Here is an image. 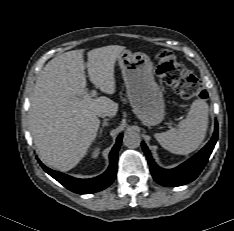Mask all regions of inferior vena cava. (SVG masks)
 I'll return each instance as SVG.
<instances>
[{
  "label": "inferior vena cava",
  "instance_id": "602c4592",
  "mask_svg": "<svg viewBox=\"0 0 234 231\" xmlns=\"http://www.w3.org/2000/svg\"><path fill=\"white\" fill-rule=\"evenodd\" d=\"M98 116L102 117V118H104L106 116L112 117V114L107 112V111H101V112L98 113Z\"/></svg>",
  "mask_w": 234,
  "mask_h": 231
}]
</instances>
